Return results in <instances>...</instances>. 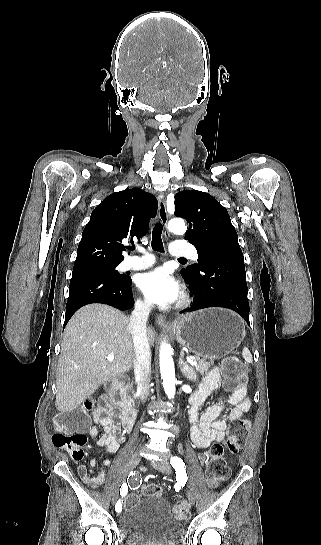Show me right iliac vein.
<instances>
[{"instance_id": "right-iliac-vein-1", "label": "right iliac vein", "mask_w": 321, "mask_h": 545, "mask_svg": "<svg viewBox=\"0 0 321 545\" xmlns=\"http://www.w3.org/2000/svg\"><path fill=\"white\" fill-rule=\"evenodd\" d=\"M141 460V454L139 452H134L130 458H129V462H128V469H134L140 462ZM118 496H119V490H116L112 496V503H116L117 499H118Z\"/></svg>"}]
</instances>
